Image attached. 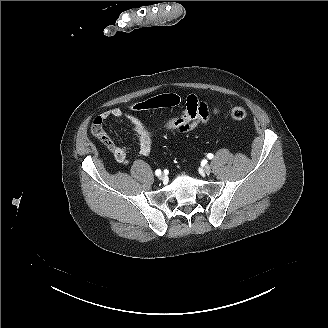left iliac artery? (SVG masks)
Segmentation results:
<instances>
[{"label": "left iliac artery", "instance_id": "44dca946", "mask_svg": "<svg viewBox=\"0 0 328 328\" xmlns=\"http://www.w3.org/2000/svg\"><path fill=\"white\" fill-rule=\"evenodd\" d=\"M207 157H208L209 159H212V158L214 157V155H213L212 153H209V154L207 155Z\"/></svg>", "mask_w": 328, "mask_h": 328}]
</instances>
